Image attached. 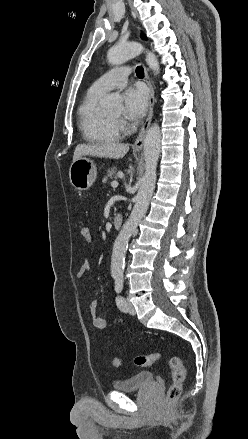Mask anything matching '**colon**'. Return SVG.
Wrapping results in <instances>:
<instances>
[{"instance_id": "colon-1", "label": "colon", "mask_w": 248, "mask_h": 439, "mask_svg": "<svg viewBox=\"0 0 248 439\" xmlns=\"http://www.w3.org/2000/svg\"><path fill=\"white\" fill-rule=\"evenodd\" d=\"M81 233L87 242L92 240V232L88 227H83ZM161 357L162 355L159 352L138 355L134 358V364L138 367L148 366L160 360ZM111 364L114 367H119L122 361L119 358H113ZM169 365L171 369V385L167 392V398L169 402H175L181 395L182 386L186 378V369L182 360L178 357H172Z\"/></svg>"}]
</instances>
